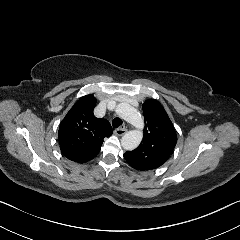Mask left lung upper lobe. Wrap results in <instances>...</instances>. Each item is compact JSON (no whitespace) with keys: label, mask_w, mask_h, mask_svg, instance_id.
Returning a JSON list of instances; mask_svg holds the SVG:
<instances>
[{"label":"left lung upper lobe","mask_w":240,"mask_h":240,"mask_svg":"<svg viewBox=\"0 0 240 240\" xmlns=\"http://www.w3.org/2000/svg\"><path fill=\"white\" fill-rule=\"evenodd\" d=\"M144 137L133 151H127L124 158L136 170L155 169L163 165L172 154L177 135L163 106L154 99L143 104Z\"/></svg>","instance_id":"obj_1"}]
</instances>
